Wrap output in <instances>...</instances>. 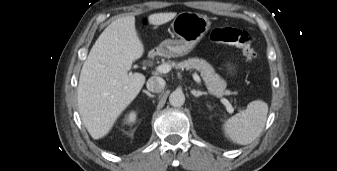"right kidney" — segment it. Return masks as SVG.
<instances>
[{
    "label": "right kidney",
    "instance_id": "obj_1",
    "mask_svg": "<svg viewBox=\"0 0 337 171\" xmlns=\"http://www.w3.org/2000/svg\"><path fill=\"white\" fill-rule=\"evenodd\" d=\"M136 120V113L133 111V112H130L126 118H125V123L126 124H133Z\"/></svg>",
    "mask_w": 337,
    "mask_h": 171
}]
</instances>
